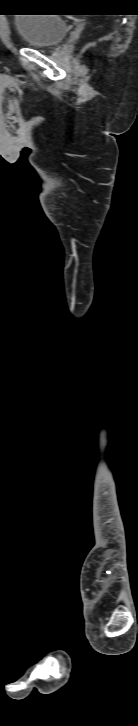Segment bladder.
Wrapping results in <instances>:
<instances>
[{"mask_svg":"<svg viewBox=\"0 0 138 726\" xmlns=\"http://www.w3.org/2000/svg\"><path fill=\"white\" fill-rule=\"evenodd\" d=\"M14 24L22 42L34 48L53 47L69 31L66 20L49 14H22L14 19Z\"/></svg>","mask_w":138,"mask_h":726,"instance_id":"bladder-1","label":"bladder"}]
</instances>
